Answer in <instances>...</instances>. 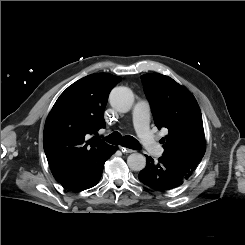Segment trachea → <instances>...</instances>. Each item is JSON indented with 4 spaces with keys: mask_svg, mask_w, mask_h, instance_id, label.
Wrapping results in <instances>:
<instances>
[{
    "mask_svg": "<svg viewBox=\"0 0 245 245\" xmlns=\"http://www.w3.org/2000/svg\"><path fill=\"white\" fill-rule=\"evenodd\" d=\"M104 139L110 144H121L122 146L130 149H138L140 147L139 142L134 137L127 135L121 138V134L119 132H114L105 137Z\"/></svg>",
    "mask_w": 245,
    "mask_h": 245,
    "instance_id": "obj_1",
    "label": "trachea"
}]
</instances>
